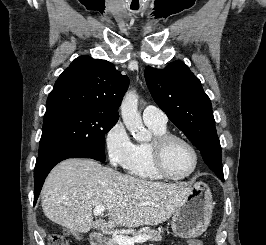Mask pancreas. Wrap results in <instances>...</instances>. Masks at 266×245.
<instances>
[{
    "instance_id": "cf45deb5",
    "label": "pancreas",
    "mask_w": 266,
    "mask_h": 245,
    "mask_svg": "<svg viewBox=\"0 0 266 245\" xmlns=\"http://www.w3.org/2000/svg\"><path fill=\"white\" fill-rule=\"evenodd\" d=\"M138 235H149V237H151L149 241H162L161 233H159V231H153V229H142V231L133 233V237H138ZM108 245H116V243L108 241Z\"/></svg>"
}]
</instances>
